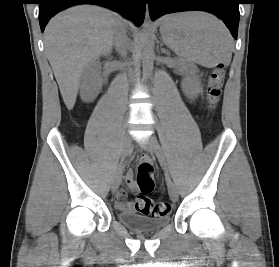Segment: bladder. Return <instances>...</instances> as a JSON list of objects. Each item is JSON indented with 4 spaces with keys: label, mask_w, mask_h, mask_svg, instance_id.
I'll list each match as a JSON object with an SVG mask.
<instances>
[{
    "label": "bladder",
    "mask_w": 279,
    "mask_h": 267,
    "mask_svg": "<svg viewBox=\"0 0 279 267\" xmlns=\"http://www.w3.org/2000/svg\"><path fill=\"white\" fill-rule=\"evenodd\" d=\"M118 219L126 227L139 232L158 231L169 222L168 215L149 217L133 211H124L119 213Z\"/></svg>",
    "instance_id": "1"
}]
</instances>
